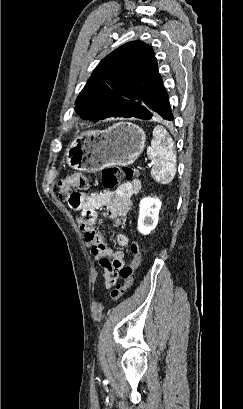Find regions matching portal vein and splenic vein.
<instances>
[{
	"label": "portal vein and splenic vein",
	"instance_id": "18ae733b",
	"mask_svg": "<svg viewBox=\"0 0 243 409\" xmlns=\"http://www.w3.org/2000/svg\"><path fill=\"white\" fill-rule=\"evenodd\" d=\"M148 166L151 167V166H152V163L148 164Z\"/></svg>",
	"mask_w": 243,
	"mask_h": 409
}]
</instances>
